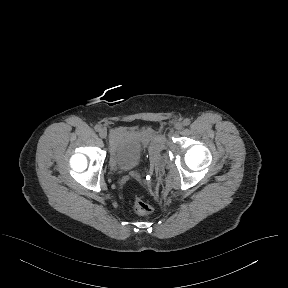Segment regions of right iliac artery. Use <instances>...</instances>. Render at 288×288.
<instances>
[{"instance_id": "obj_1", "label": "right iliac artery", "mask_w": 288, "mask_h": 288, "mask_svg": "<svg viewBox=\"0 0 288 288\" xmlns=\"http://www.w3.org/2000/svg\"><path fill=\"white\" fill-rule=\"evenodd\" d=\"M94 129L99 132L101 130V126L100 125H95Z\"/></svg>"}]
</instances>
